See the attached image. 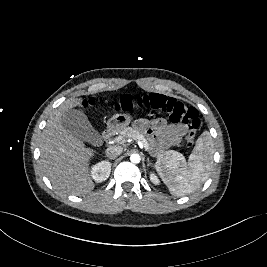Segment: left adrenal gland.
<instances>
[{
	"label": "left adrenal gland",
	"instance_id": "obj_1",
	"mask_svg": "<svg viewBox=\"0 0 267 267\" xmlns=\"http://www.w3.org/2000/svg\"><path fill=\"white\" fill-rule=\"evenodd\" d=\"M152 163L150 162L149 158H147V166H151Z\"/></svg>",
	"mask_w": 267,
	"mask_h": 267
}]
</instances>
